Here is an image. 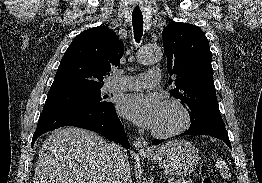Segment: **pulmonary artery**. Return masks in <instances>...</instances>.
I'll use <instances>...</instances> for the list:
<instances>
[{
  "label": "pulmonary artery",
  "mask_w": 262,
  "mask_h": 183,
  "mask_svg": "<svg viewBox=\"0 0 262 183\" xmlns=\"http://www.w3.org/2000/svg\"><path fill=\"white\" fill-rule=\"evenodd\" d=\"M114 81L108 86V91L139 90L157 85L160 82V70L153 68L146 73L134 76L114 75Z\"/></svg>",
  "instance_id": "obj_1"
}]
</instances>
